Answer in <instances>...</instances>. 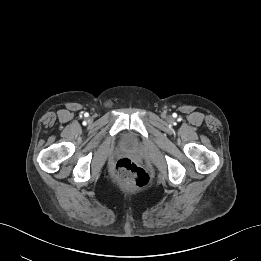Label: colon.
<instances>
[{
  "label": "colon",
  "instance_id": "obj_1",
  "mask_svg": "<svg viewBox=\"0 0 261 261\" xmlns=\"http://www.w3.org/2000/svg\"><path fill=\"white\" fill-rule=\"evenodd\" d=\"M114 181L121 187H140L147 183L145 171L129 158L119 159L113 169Z\"/></svg>",
  "mask_w": 261,
  "mask_h": 261
}]
</instances>
